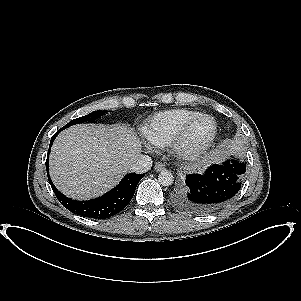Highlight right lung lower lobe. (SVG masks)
<instances>
[{"label":"right lung lower lobe","instance_id":"98d812e1","mask_svg":"<svg viewBox=\"0 0 301 301\" xmlns=\"http://www.w3.org/2000/svg\"><path fill=\"white\" fill-rule=\"evenodd\" d=\"M61 130H63V128L52 136L49 150L54 139ZM46 168L48 170V158L46 160ZM143 177L144 174L130 173L126 175L116 187L101 197L89 201H76L64 196L61 192H59L58 189L53 185L48 175L52 190L63 206L75 214L94 219L109 218L123 210L131 201L135 193L136 186Z\"/></svg>","mask_w":301,"mask_h":301}]
</instances>
